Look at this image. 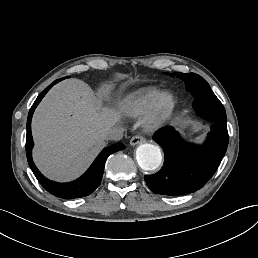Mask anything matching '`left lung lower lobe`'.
<instances>
[{
    "instance_id": "obj_1",
    "label": "left lung lower lobe",
    "mask_w": 258,
    "mask_h": 258,
    "mask_svg": "<svg viewBox=\"0 0 258 258\" xmlns=\"http://www.w3.org/2000/svg\"><path fill=\"white\" fill-rule=\"evenodd\" d=\"M197 114L212 123L202 145L185 142L173 127H165L154 135L163 148L164 164L154 175H145L148 187L157 194L178 196L202 188L218 169L228 145L226 113L214 93L195 97Z\"/></svg>"
}]
</instances>
